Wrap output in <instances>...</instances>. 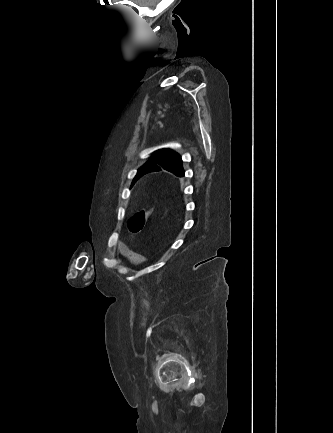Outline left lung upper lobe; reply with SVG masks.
I'll return each mask as SVG.
<instances>
[{"instance_id":"5c2ea615","label":"left lung upper lobe","mask_w":333,"mask_h":433,"mask_svg":"<svg viewBox=\"0 0 333 433\" xmlns=\"http://www.w3.org/2000/svg\"><path fill=\"white\" fill-rule=\"evenodd\" d=\"M147 168H152L151 170H146ZM161 169H165L174 173L176 176L182 177L184 176V170L182 167V160L179 155L174 153L171 150L163 149L157 151L149 161H147L138 171L137 176L140 174L160 171ZM135 177V178H136ZM135 180V179H134Z\"/></svg>"}]
</instances>
